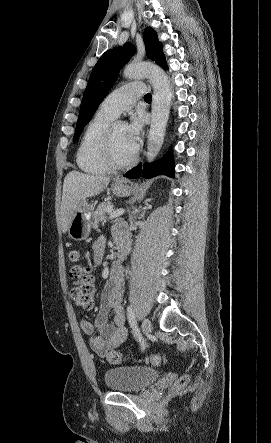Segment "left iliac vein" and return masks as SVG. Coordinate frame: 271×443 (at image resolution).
<instances>
[{
  "instance_id": "1",
  "label": "left iliac vein",
  "mask_w": 271,
  "mask_h": 443,
  "mask_svg": "<svg viewBox=\"0 0 271 443\" xmlns=\"http://www.w3.org/2000/svg\"><path fill=\"white\" fill-rule=\"evenodd\" d=\"M151 328H152V325H151L150 320L145 318L143 320V322H142V331H143V333L144 334L150 333L151 332Z\"/></svg>"
}]
</instances>
